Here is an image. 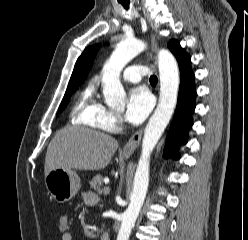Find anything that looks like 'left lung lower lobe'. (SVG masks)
<instances>
[{
	"mask_svg": "<svg viewBox=\"0 0 248 240\" xmlns=\"http://www.w3.org/2000/svg\"><path fill=\"white\" fill-rule=\"evenodd\" d=\"M180 88L174 118L164 148V157L180 159L179 148L188 141V131L193 125L192 114L196 107L195 75L191 67V57L187 55L179 62Z\"/></svg>",
	"mask_w": 248,
	"mask_h": 240,
	"instance_id": "left-lung-lower-lobe-1",
	"label": "left lung lower lobe"
}]
</instances>
